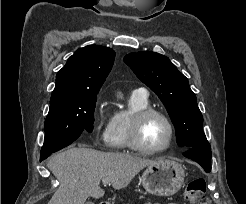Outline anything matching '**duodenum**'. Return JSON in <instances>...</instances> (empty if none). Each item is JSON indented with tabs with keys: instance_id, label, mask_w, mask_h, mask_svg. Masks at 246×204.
<instances>
[{
	"instance_id": "obj_1",
	"label": "duodenum",
	"mask_w": 246,
	"mask_h": 204,
	"mask_svg": "<svg viewBox=\"0 0 246 204\" xmlns=\"http://www.w3.org/2000/svg\"><path fill=\"white\" fill-rule=\"evenodd\" d=\"M101 204H109L108 202H102Z\"/></svg>"
}]
</instances>
